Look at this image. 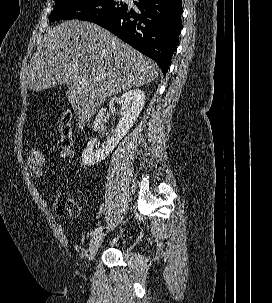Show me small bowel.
<instances>
[{"mask_svg":"<svg viewBox=\"0 0 272 303\" xmlns=\"http://www.w3.org/2000/svg\"><path fill=\"white\" fill-rule=\"evenodd\" d=\"M28 169H29L30 174H31L32 176H34V177H41L40 175H37L36 173H34V172L32 171V169H31V167H30V164H29V161H28Z\"/></svg>","mask_w":272,"mask_h":303,"instance_id":"c3829d8e","label":"small bowel"}]
</instances>
